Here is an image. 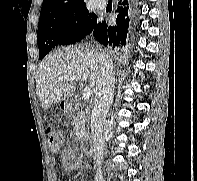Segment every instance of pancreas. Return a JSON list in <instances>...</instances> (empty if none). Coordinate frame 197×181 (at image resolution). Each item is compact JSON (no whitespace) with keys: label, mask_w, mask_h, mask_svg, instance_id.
Wrapping results in <instances>:
<instances>
[{"label":"pancreas","mask_w":197,"mask_h":181,"mask_svg":"<svg viewBox=\"0 0 197 181\" xmlns=\"http://www.w3.org/2000/svg\"><path fill=\"white\" fill-rule=\"evenodd\" d=\"M87 118L88 116L82 110L77 111L74 116V134L78 139H89V130L86 127Z\"/></svg>","instance_id":"obj_1"}]
</instances>
